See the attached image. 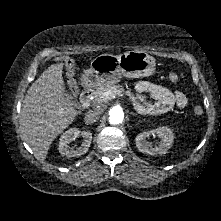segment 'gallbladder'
I'll return each mask as SVG.
<instances>
[{
    "label": "gallbladder",
    "mask_w": 221,
    "mask_h": 221,
    "mask_svg": "<svg viewBox=\"0 0 221 221\" xmlns=\"http://www.w3.org/2000/svg\"><path fill=\"white\" fill-rule=\"evenodd\" d=\"M66 96L69 98V102L71 103V105L76 106L77 102L73 100L72 97L69 96L67 93H66Z\"/></svg>",
    "instance_id": "gallbladder-1"
}]
</instances>
